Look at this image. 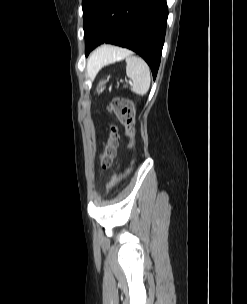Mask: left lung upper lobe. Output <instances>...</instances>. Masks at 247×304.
<instances>
[{"label": "left lung upper lobe", "instance_id": "obj_1", "mask_svg": "<svg viewBox=\"0 0 247 304\" xmlns=\"http://www.w3.org/2000/svg\"><path fill=\"white\" fill-rule=\"evenodd\" d=\"M104 0H82L83 18L85 27L91 20H93L102 5Z\"/></svg>", "mask_w": 247, "mask_h": 304}]
</instances>
